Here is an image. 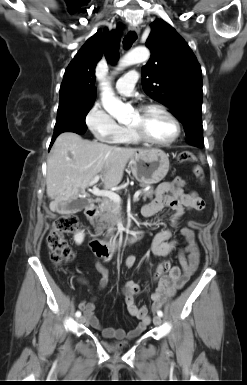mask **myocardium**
<instances>
[{
  "instance_id": "1",
  "label": "myocardium",
  "mask_w": 247,
  "mask_h": 385,
  "mask_svg": "<svg viewBox=\"0 0 247 385\" xmlns=\"http://www.w3.org/2000/svg\"><path fill=\"white\" fill-rule=\"evenodd\" d=\"M152 110H158V111L162 112L171 120V122L173 123L174 128H175V132H174V135L172 136V138H170L167 141H155V140L148 138L141 130H139L136 127L129 126L130 131L132 132V134L135 136V138L137 140L142 141L146 144H149L152 146H157V147H167V146L172 145L180 137V134H181L180 122L174 116V114H172L166 107H164L160 104H146V105L140 106L137 109V112L139 114H145V113L152 111Z\"/></svg>"
}]
</instances>
